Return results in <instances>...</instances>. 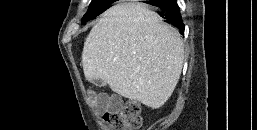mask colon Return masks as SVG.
Here are the masks:
<instances>
[{
  "instance_id": "obj_1",
  "label": "colon",
  "mask_w": 257,
  "mask_h": 130,
  "mask_svg": "<svg viewBox=\"0 0 257 130\" xmlns=\"http://www.w3.org/2000/svg\"><path fill=\"white\" fill-rule=\"evenodd\" d=\"M102 118L112 130H134L142 123L140 106L134 100H128L119 107L105 111Z\"/></svg>"
}]
</instances>
